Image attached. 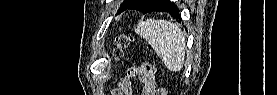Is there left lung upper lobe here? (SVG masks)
<instances>
[{
  "label": "left lung upper lobe",
  "mask_w": 277,
  "mask_h": 95,
  "mask_svg": "<svg viewBox=\"0 0 277 95\" xmlns=\"http://www.w3.org/2000/svg\"><path fill=\"white\" fill-rule=\"evenodd\" d=\"M134 0H126L124 1V3L122 4L121 8L119 9L118 13L119 14L120 12L124 11ZM165 0H152L151 4L152 6L151 7H157L159 5H161Z\"/></svg>",
  "instance_id": "obj_1"
}]
</instances>
